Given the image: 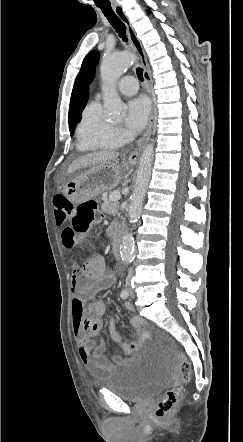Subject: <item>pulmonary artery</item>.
Instances as JSON below:
<instances>
[{
	"label": "pulmonary artery",
	"mask_w": 243,
	"mask_h": 442,
	"mask_svg": "<svg viewBox=\"0 0 243 442\" xmlns=\"http://www.w3.org/2000/svg\"><path fill=\"white\" fill-rule=\"evenodd\" d=\"M137 80L133 76H125L118 82V89L122 94L132 95L137 92ZM100 95L98 94L97 97Z\"/></svg>",
	"instance_id": "e3ab8cb5"
}]
</instances>
